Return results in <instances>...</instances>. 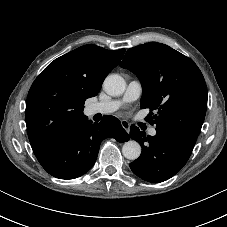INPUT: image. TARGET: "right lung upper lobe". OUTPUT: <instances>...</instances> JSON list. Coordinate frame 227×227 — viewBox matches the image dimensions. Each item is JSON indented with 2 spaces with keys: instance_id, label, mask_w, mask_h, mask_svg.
<instances>
[{
  "instance_id": "1",
  "label": "right lung upper lobe",
  "mask_w": 227,
  "mask_h": 227,
  "mask_svg": "<svg viewBox=\"0 0 227 227\" xmlns=\"http://www.w3.org/2000/svg\"><path fill=\"white\" fill-rule=\"evenodd\" d=\"M124 53L84 45L52 61L35 79L26 102V126L37 158L88 119L85 100L98 94Z\"/></svg>"
}]
</instances>
